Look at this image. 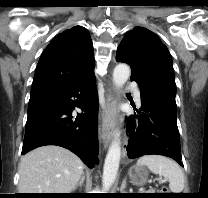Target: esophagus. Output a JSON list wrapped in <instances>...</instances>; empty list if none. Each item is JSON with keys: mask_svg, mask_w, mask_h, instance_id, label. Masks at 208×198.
Wrapping results in <instances>:
<instances>
[{"mask_svg": "<svg viewBox=\"0 0 208 198\" xmlns=\"http://www.w3.org/2000/svg\"><path fill=\"white\" fill-rule=\"evenodd\" d=\"M117 99L113 89H108L106 95V109L102 113L100 137L105 148L110 144L116 127Z\"/></svg>", "mask_w": 208, "mask_h": 198, "instance_id": "obj_1", "label": "esophagus"}]
</instances>
